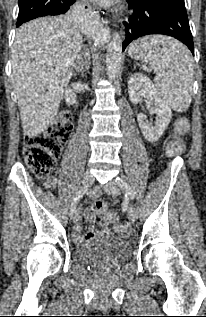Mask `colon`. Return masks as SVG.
Here are the masks:
<instances>
[{
  "label": "colon",
  "mask_w": 206,
  "mask_h": 317,
  "mask_svg": "<svg viewBox=\"0 0 206 317\" xmlns=\"http://www.w3.org/2000/svg\"><path fill=\"white\" fill-rule=\"evenodd\" d=\"M71 130V114L68 111H62L43 133L25 138L24 158L36 176L45 177L54 170L62 152V146L70 137ZM188 131V118L186 116L178 117L174 124V136L166 148L169 157L180 155L185 151L183 136ZM94 208L98 213L104 215L107 222L111 223L116 220V214L107 210L105 202L96 201ZM117 231L122 236H128L131 233V227L122 223L117 226Z\"/></svg>",
  "instance_id": "1"
}]
</instances>
